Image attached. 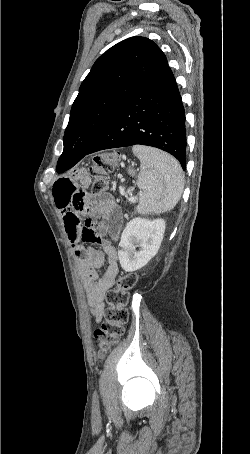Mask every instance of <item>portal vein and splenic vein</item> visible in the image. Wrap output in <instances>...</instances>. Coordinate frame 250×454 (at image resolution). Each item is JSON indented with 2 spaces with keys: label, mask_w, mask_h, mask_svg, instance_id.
<instances>
[{
  "label": "portal vein and splenic vein",
  "mask_w": 250,
  "mask_h": 454,
  "mask_svg": "<svg viewBox=\"0 0 250 454\" xmlns=\"http://www.w3.org/2000/svg\"><path fill=\"white\" fill-rule=\"evenodd\" d=\"M128 201L131 202V203H134V202H136V198L134 196H130L128 198Z\"/></svg>",
  "instance_id": "18ae733b"
}]
</instances>
